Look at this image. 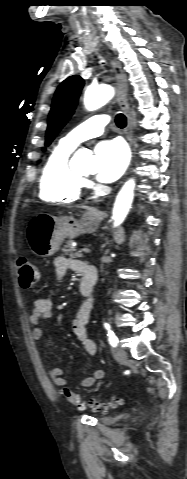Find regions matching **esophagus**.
I'll return each instance as SVG.
<instances>
[{
    "instance_id": "34e87169",
    "label": "esophagus",
    "mask_w": 187,
    "mask_h": 479,
    "mask_svg": "<svg viewBox=\"0 0 187 479\" xmlns=\"http://www.w3.org/2000/svg\"><path fill=\"white\" fill-rule=\"evenodd\" d=\"M111 64L116 78L118 102L127 117L125 134L131 148V153L133 154V129L131 111L127 101V76L122 69L121 63L118 60H116L115 58H111Z\"/></svg>"
}]
</instances>
